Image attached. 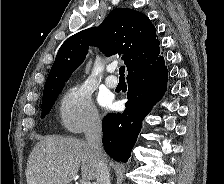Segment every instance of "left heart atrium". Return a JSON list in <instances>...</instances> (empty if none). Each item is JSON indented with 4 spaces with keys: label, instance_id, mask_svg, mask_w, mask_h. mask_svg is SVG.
<instances>
[{
    "label": "left heart atrium",
    "instance_id": "1",
    "mask_svg": "<svg viewBox=\"0 0 224 184\" xmlns=\"http://www.w3.org/2000/svg\"><path fill=\"white\" fill-rule=\"evenodd\" d=\"M105 104H106V105H110L111 103H110V102H106Z\"/></svg>",
    "mask_w": 224,
    "mask_h": 184
}]
</instances>
